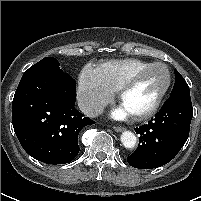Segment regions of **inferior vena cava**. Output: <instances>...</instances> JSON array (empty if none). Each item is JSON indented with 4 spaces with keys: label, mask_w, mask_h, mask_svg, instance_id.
<instances>
[{
    "label": "inferior vena cava",
    "mask_w": 201,
    "mask_h": 201,
    "mask_svg": "<svg viewBox=\"0 0 201 201\" xmlns=\"http://www.w3.org/2000/svg\"><path fill=\"white\" fill-rule=\"evenodd\" d=\"M78 107L86 116L91 118L97 117L103 112V106L100 103L90 100L79 99Z\"/></svg>",
    "instance_id": "602c4592"
}]
</instances>
